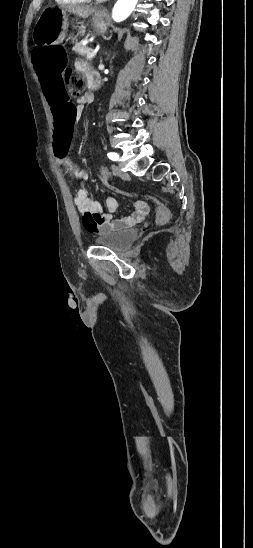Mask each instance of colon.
Returning a JSON list of instances; mask_svg holds the SVG:
<instances>
[{
	"label": "colon",
	"instance_id": "1",
	"mask_svg": "<svg viewBox=\"0 0 253 548\" xmlns=\"http://www.w3.org/2000/svg\"><path fill=\"white\" fill-rule=\"evenodd\" d=\"M33 60L36 70L39 72L43 93L46 96L47 105H51L53 123L52 152L57 159L69 156L68 142L74 133V124L77 120V111L74 101L69 97L65 87L64 71L66 70L67 54L61 46H50L37 49L33 52ZM66 81L71 96H80L85 89V79L82 75L68 70ZM96 179L105 184V189L112 193H124L126 195H139L135 191L124 189L114 182V177L107 169H99ZM103 176V177H102ZM145 199L153 202L157 209V220L166 223L170 219L169 209L149 194H140Z\"/></svg>",
	"mask_w": 253,
	"mask_h": 548
}]
</instances>
